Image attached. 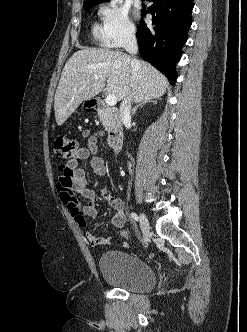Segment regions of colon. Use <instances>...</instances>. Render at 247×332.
I'll use <instances>...</instances> for the list:
<instances>
[{"label":"colon","instance_id":"5ec220e1","mask_svg":"<svg viewBox=\"0 0 247 332\" xmlns=\"http://www.w3.org/2000/svg\"><path fill=\"white\" fill-rule=\"evenodd\" d=\"M55 150L61 158H72L78 150V142L66 135H59L55 140ZM120 233L125 237H129L124 230L120 231Z\"/></svg>","mask_w":247,"mask_h":332}]
</instances>
